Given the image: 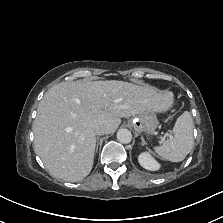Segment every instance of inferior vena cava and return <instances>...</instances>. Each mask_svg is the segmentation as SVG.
Masks as SVG:
<instances>
[{
	"label": "inferior vena cava",
	"mask_w": 223,
	"mask_h": 223,
	"mask_svg": "<svg viewBox=\"0 0 223 223\" xmlns=\"http://www.w3.org/2000/svg\"><path fill=\"white\" fill-rule=\"evenodd\" d=\"M94 133L96 134V135H104L105 133H106V128H105V126L104 125H95L94 126Z\"/></svg>",
	"instance_id": "602c4592"
}]
</instances>
